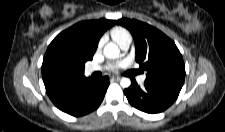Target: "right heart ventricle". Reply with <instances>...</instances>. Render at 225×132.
<instances>
[{"label": "right heart ventricle", "mask_w": 225, "mask_h": 132, "mask_svg": "<svg viewBox=\"0 0 225 132\" xmlns=\"http://www.w3.org/2000/svg\"><path fill=\"white\" fill-rule=\"evenodd\" d=\"M110 35L112 39L119 45H121L122 43L126 41L131 42V39H132L130 32L123 27L113 28L110 32Z\"/></svg>", "instance_id": "obj_1"}]
</instances>
